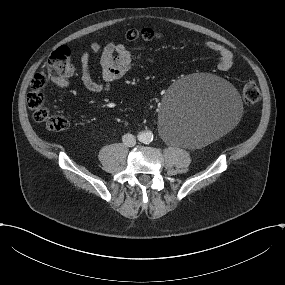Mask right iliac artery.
Here are the masks:
<instances>
[{"instance_id":"right-iliac-artery-1","label":"right iliac artery","mask_w":285,"mask_h":285,"mask_svg":"<svg viewBox=\"0 0 285 285\" xmlns=\"http://www.w3.org/2000/svg\"><path fill=\"white\" fill-rule=\"evenodd\" d=\"M141 135H138L137 137H138V139H140L139 137H140Z\"/></svg>"}]
</instances>
